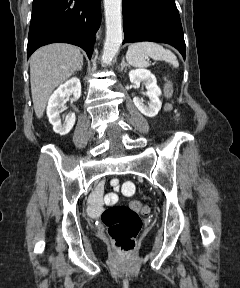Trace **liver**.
Returning a JSON list of instances; mask_svg holds the SVG:
<instances>
[{
  "label": "liver",
  "mask_w": 240,
  "mask_h": 288,
  "mask_svg": "<svg viewBox=\"0 0 240 288\" xmlns=\"http://www.w3.org/2000/svg\"><path fill=\"white\" fill-rule=\"evenodd\" d=\"M83 56L69 44L54 43L36 50L29 59L35 114L41 118L52 91L80 67Z\"/></svg>",
  "instance_id": "6515ba94"
}]
</instances>
